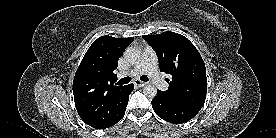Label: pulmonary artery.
I'll list each match as a JSON object with an SVG mask.
<instances>
[{
	"instance_id": "e3ab8cb5",
	"label": "pulmonary artery",
	"mask_w": 276,
	"mask_h": 138,
	"mask_svg": "<svg viewBox=\"0 0 276 138\" xmlns=\"http://www.w3.org/2000/svg\"><path fill=\"white\" fill-rule=\"evenodd\" d=\"M130 75L136 76L146 74L155 86L161 90H166L168 84L158 71V59L155 51L147 46L143 50L141 61L129 71ZM126 75L125 73L120 76Z\"/></svg>"
}]
</instances>
